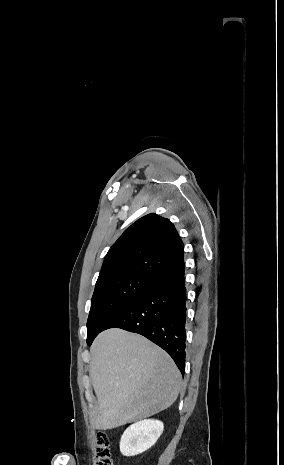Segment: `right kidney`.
I'll return each mask as SVG.
<instances>
[{
  "mask_svg": "<svg viewBox=\"0 0 284 465\" xmlns=\"http://www.w3.org/2000/svg\"><path fill=\"white\" fill-rule=\"evenodd\" d=\"M164 429L161 421H154V419H146V421H139L130 425L124 431L120 441V451L125 457H134L139 453H144L155 445Z\"/></svg>",
  "mask_w": 284,
  "mask_h": 465,
  "instance_id": "ca27d5eb",
  "label": "right kidney"
}]
</instances>
